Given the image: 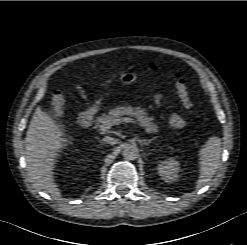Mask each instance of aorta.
I'll return each mask as SVG.
<instances>
[{"instance_id": "aorta-1", "label": "aorta", "mask_w": 247, "mask_h": 245, "mask_svg": "<svg viewBox=\"0 0 247 245\" xmlns=\"http://www.w3.org/2000/svg\"><path fill=\"white\" fill-rule=\"evenodd\" d=\"M139 151L135 145L127 144L123 148L122 155L126 160H135L138 157Z\"/></svg>"}]
</instances>
